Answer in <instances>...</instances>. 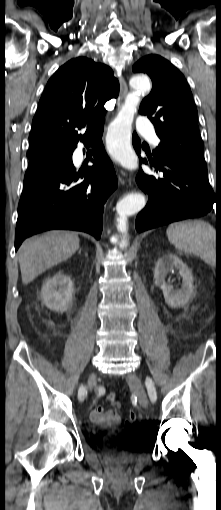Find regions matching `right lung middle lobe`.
<instances>
[{"instance_id": "right-lung-middle-lobe-1", "label": "right lung middle lobe", "mask_w": 221, "mask_h": 510, "mask_svg": "<svg viewBox=\"0 0 221 510\" xmlns=\"http://www.w3.org/2000/svg\"><path fill=\"white\" fill-rule=\"evenodd\" d=\"M70 155V149L64 148H44L27 153L29 159V169L43 167L47 165H59L66 163Z\"/></svg>"}]
</instances>
